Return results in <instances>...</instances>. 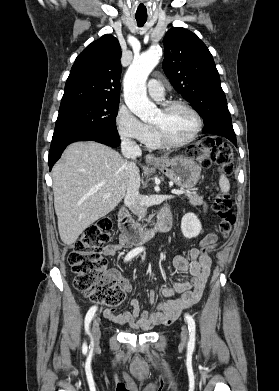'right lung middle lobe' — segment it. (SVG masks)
<instances>
[{
	"instance_id": "dd1d6c3e",
	"label": "right lung middle lobe",
	"mask_w": 279,
	"mask_h": 391,
	"mask_svg": "<svg viewBox=\"0 0 279 391\" xmlns=\"http://www.w3.org/2000/svg\"><path fill=\"white\" fill-rule=\"evenodd\" d=\"M119 101H94L59 109L52 140L96 128H116Z\"/></svg>"
}]
</instances>
